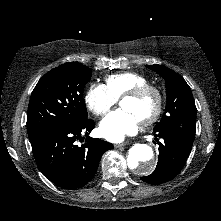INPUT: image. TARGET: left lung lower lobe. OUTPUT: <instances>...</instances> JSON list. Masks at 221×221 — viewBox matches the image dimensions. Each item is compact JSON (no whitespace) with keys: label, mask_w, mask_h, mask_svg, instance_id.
Returning <instances> with one entry per match:
<instances>
[{"label":"left lung lower lobe","mask_w":221,"mask_h":221,"mask_svg":"<svg viewBox=\"0 0 221 221\" xmlns=\"http://www.w3.org/2000/svg\"><path fill=\"white\" fill-rule=\"evenodd\" d=\"M154 131V130H153ZM159 145V157L156 170L141 180L150 184H161L174 178L184 167L192 144L171 131H154ZM157 138H161L163 143Z\"/></svg>","instance_id":"1"}]
</instances>
